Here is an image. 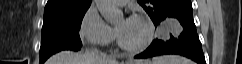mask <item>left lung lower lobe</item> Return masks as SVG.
I'll use <instances>...</instances> for the list:
<instances>
[{
    "label": "left lung lower lobe",
    "mask_w": 242,
    "mask_h": 64,
    "mask_svg": "<svg viewBox=\"0 0 242 64\" xmlns=\"http://www.w3.org/2000/svg\"><path fill=\"white\" fill-rule=\"evenodd\" d=\"M166 18H174L179 21L183 27L180 36L173 37L170 34L168 41L155 39L144 52L136 55L134 58L144 59L164 54H177L190 58L198 64H206L202 45L193 20L192 5H187L172 11Z\"/></svg>",
    "instance_id": "0a47b994"
}]
</instances>
